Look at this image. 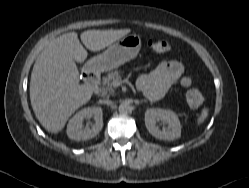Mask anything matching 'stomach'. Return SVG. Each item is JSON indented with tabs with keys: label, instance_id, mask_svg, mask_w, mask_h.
I'll return each mask as SVG.
<instances>
[{
	"label": "stomach",
	"instance_id": "stomach-1",
	"mask_svg": "<svg viewBox=\"0 0 249 188\" xmlns=\"http://www.w3.org/2000/svg\"><path fill=\"white\" fill-rule=\"evenodd\" d=\"M141 48V38L136 34L126 35L117 42L108 46L102 53L87 63V66L96 72L113 70L122 64L134 59Z\"/></svg>",
	"mask_w": 249,
	"mask_h": 188
}]
</instances>
